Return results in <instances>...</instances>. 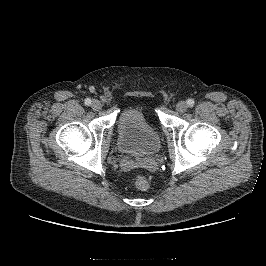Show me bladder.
<instances>
[{
  "mask_svg": "<svg viewBox=\"0 0 266 266\" xmlns=\"http://www.w3.org/2000/svg\"><path fill=\"white\" fill-rule=\"evenodd\" d=\"M118 148L121 153L144 158L160 149V136L154 125L136 108L123 110L117 125Z\"/></svg>",
  "mask_w": 266,
  "mask_h": 266,
  "instance_id": "bladder-1",
  "label": "bladder"
}]
</instances>
